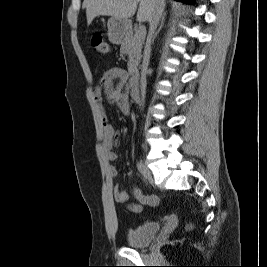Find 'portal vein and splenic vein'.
I'll return each instance as SVG.
<instances>
[{"instance_id": "1", "label": "portal vein and splenic vein", "mask_w": 267, "mask_h": 267, "mask_svg": "<svg viewBox=\"0 0 267 267\" xmlns=\"http://www.w3.org/2000/svg\"><path fill=\"white\" fill-rule=\"evenodd\" d=\"M145 35H146V29H145V27L144 26H140L139 27V30L136 32L137 38L143 40L144 37H145Z\"/></svg>"}]
</instances>
